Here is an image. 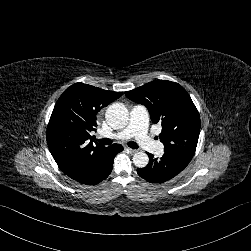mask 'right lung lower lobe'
Listing matches in <instances>:
<instances>
[{"label": "right lung lower lobe", "instance_id": "right-lung-lower-lobe-1", "mask_svg": "<svg viewBox=\"0 0 251 251\" xmlns=\"http://www.w3.org/2000/svg\"><path fill=\"white\" fill-rule=\"evenodd\" d=\"M123 150L120 144H113L109 147L107 157L100 163L90 166L72 179L86 185H95L109 176L113 168L114 157ZM70 177V176H69Z\"/></svg>", "mask_w": 251, "mask_h": 251}]
</instances>
